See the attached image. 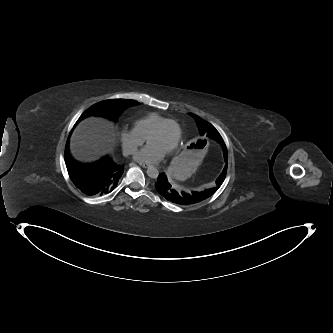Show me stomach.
<instances>
[{"label":"stomach","mask_w":333,"mask_h":333,"mask_svg":"<svg viewBox=\"0 0 333 333\" xmlns=\"http://www.w3.org/2000/svg\"><path fill=\"white\" fill-rule=\"evenodd\" d=\"M208 144L205 138L195 139L186 145L175 163L169 168V175L174 180H185L199 169V163L207 158Z\"/></svg>","instance_id":"obj_1"}]
</instances>
